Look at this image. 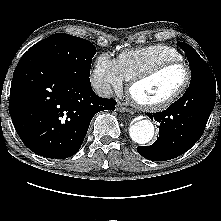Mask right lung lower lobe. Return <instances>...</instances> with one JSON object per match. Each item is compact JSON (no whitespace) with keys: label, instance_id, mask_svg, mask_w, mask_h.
<instances>
[{"label":"right lung lower lobe","instance_id":"1","mask_svg":"<svg viewBox=\"0 0 221 221\" xmlns=\"http://www.w3.org/2000/svg\"><path fill=\"white\" fill-rule=\"evenodd\" d=\"M115 105L95 94L89 76L34 53H25L13 74L10 116L22 142L43 157L74 155L94 115Z\"/></svg>","mask_w":221,"mask_h":221}]
</instances>
